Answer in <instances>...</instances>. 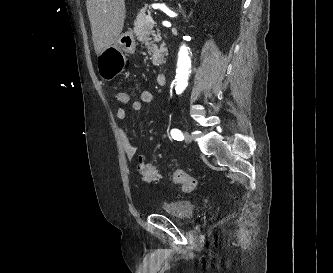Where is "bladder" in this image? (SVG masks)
<instances>
[{
  "label": "bladder",
  "instance_id": "31cf9c89",
  "mask_svg": "<svg viewBox=\"0 0 333 273\" xmlns=\"http://www.w3.org/2000/svg\"><path fill=\"white\" fill-rule=\"evenodd\" d=\"M162 212L179 223L186 224L193 218L194 205L188 200L176 201Z\"/></svg>",
  "mask_w": 333,
  "mask_h": 273
}]
</instances>
